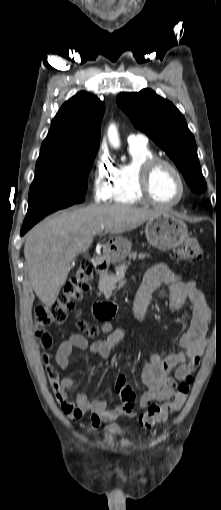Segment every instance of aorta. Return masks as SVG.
Here are the masks:
<instances>
[{
  "instance_id": "aorta-1",
  "label": "aorta",
  "mask_w": 221,
  "mask_h": 510,
  "mask_svg": "<svg viewBox=\"0 0 221 510\" xmlns=\"http://www.w3.org/2000/svg\"><path fill=\"white\" fill-rule=\"evenodd\" d=\"M108 139L113 148H119L120 139L118 135L117 128L114 124H111L108 128Z\"/></svg>"
}]
</instances>
